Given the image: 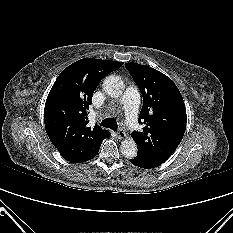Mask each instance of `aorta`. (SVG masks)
<instances>
[{
  "label": "aorta",
  "instance_id": "obj_1",
  "mask_svg": "<svg viewBox=\"0 0 233 233\" xmlns=\"http://www.w3.org/2000/svg\"><path fill=\"white\" fill-rule=\"evenodd\" d=\"M104 91L113 98H118L124 90V83L119 76L110 75L103 81ZM121 153L127 158H134L137 155V145L132 138L124 139L121 142Z\"/></svg>",
  "mask_w": 233,
  "mask_h": 233
}]
</instances>
